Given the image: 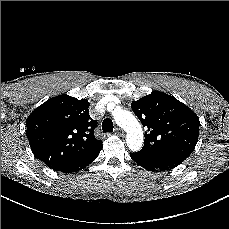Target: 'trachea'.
Wrapping results in <instances>:
<instances>
[{"label": "trachea", "instance_id": "1", "mask_svg": "<svg viewBox=\"0 0 229 229\" xmlns=\"http://www.w3.org/2000/svg\"><path fill=\"white\" fill-rule=\"evenodd\" d=\"M113 128H114V126H113V122L111 119L106 118L103 120V122H102L103 132H105V133L106 132H113Z\"/></svg>", "mask_w": 229, "mask_h": 229}]
</instances>
